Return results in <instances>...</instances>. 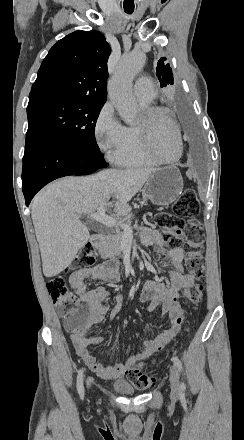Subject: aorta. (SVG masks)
<instances>
[{
    "instance_id": "aorta-1",
    "label": "aorta",
    "mask_w": 244,
    "mask_h": 440,
    "mask_svg": "<svg viewBox=\"0 0 244 440\" xmlns=\"http://www.w3.org/2000/svg\"><path fill=\"white\" fill-rule=\"evenodd\" d=\"M145 63L142 52H131L122 57L120 64L108 83L109 97L123 121L131 123L138 113V104L133 96L134 77Z\"/></svg>"
}]
</instances>
